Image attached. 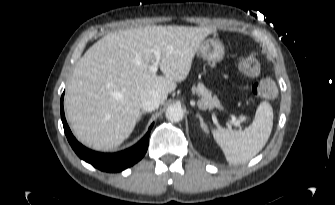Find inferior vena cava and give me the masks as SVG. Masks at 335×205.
<instances>
[{"mask_svg":"<svg viewBox=\"0 0 335 205\" xmlns=\"http://www.w3.org/2000/svg\"><path fill=\"white\" fill-rule=\"evenodd\" d=\"M160 105V96L157 91L149 90L143 93L140 98V107L144 111H154Z\"/></svg>","mask_w":335,"mask_h":205,"instance_id":"602c4592","label":"inferior vena cava"}]
</instances>
